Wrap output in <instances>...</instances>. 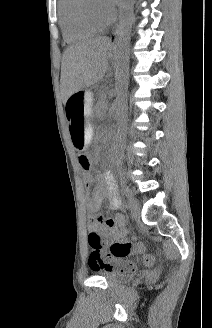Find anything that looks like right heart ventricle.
<instances>
[{
    "label": "right heart ventricle",
    "mask_w": 212,
    "mask_h": 328,
    "mask_svg": "<svg viewBox=\"0 0 212 328\" xmlns=\"http://www.w3.org/2000/svg\"><path fill=\"white\" fill-rule=\"evenodd\" d=\"M83 0H59V19L64 39L69 43L84 41L102 29L89 24L82 15Z\"/></svg>",
    "instance_id": "1"
}]
</instances>
